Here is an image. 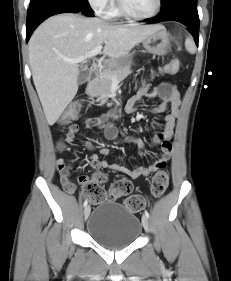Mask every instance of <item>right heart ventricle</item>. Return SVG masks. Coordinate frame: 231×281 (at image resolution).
I'll return each mask as SVG.
<instances>
[{"instance_id":"e07e8e85","label":"right heart ventricle","mask_w":231,"mask_h":281,"mask_svg":"<svg viewBox=\"0 0 231 281\" xmlns=\"http://www.w3.org/2000/svg\"><path fill=\"white\" fill-rule=\"evenodd\" d=\"M119 11L116 6L112 5L108 11L105 13L106 17L113 18L119 16Z\"/></svg>"}]
</instances>
